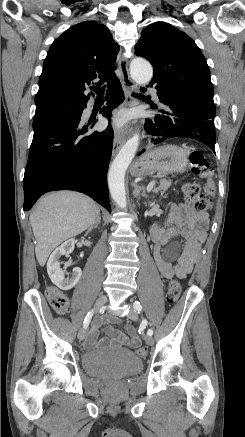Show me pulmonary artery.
Segmentation results:
<instances>
[{"label":"pulmonary artery","mask_w":245,"mask_h":437,"mask_svg":"<svg viewBox=\"0 0 245 437\" xmlns=\"http://www.w3.org/2000/svg\"><path fill=\"white\" fill-rule=\"evenodd\" d=\"M152 92H153V95H154L155 99L158 100V96H157V94H156V91L153 89Z\"/></svg>","instance_id":"pulmonary-artery-1"}]
</instances>
